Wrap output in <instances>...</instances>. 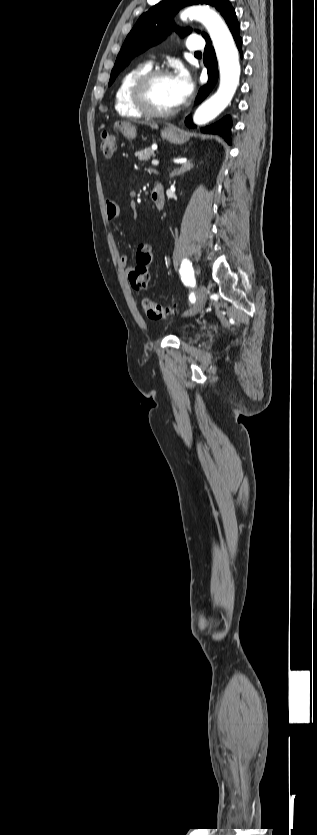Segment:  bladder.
I'll return each instance as SVG.
<instances>
[{
	"instance_id": "31cf9c89",
	"label": "bladder",
	"mask_w": 317,
	"mask_h": 835,
	"mask_svg": "<svg viewBox=\"0 0 317 835\" xmlns=\"http://www.w3.org/2000/svg\"><path fill=\"white\" fill-rule=\"evenodd\" d=\"M192 333L193 332L191 330L184 329V330H181L179 332L178 336H179L180 339H187L188 337H190L192 335Z\"/></svg>"
}]
</instances>
